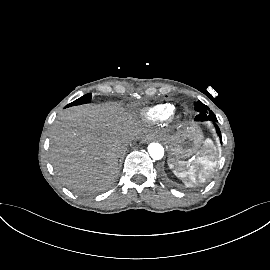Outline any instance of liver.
Returning a JSON list of instances; mask_svg holds the SVG:
<instances>
[{"label":"liver","mask_w":270,"mask_h":270,"mask_svg":"<svg viewBox=\"0 0 270 270\" xmlns=\"http://www.w3.org/2000/svg\"><path fill=\"white\" fill-rule=\"evenodd\" d=\"M130 113L112 103L82 105L58 114L51 129V161L65 184L101 190L115 178L122 146L136 135Z\"/></svg>","instance_id":"1"}]
</instances>
